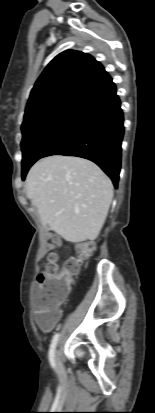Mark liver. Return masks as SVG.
Segmentation results:
<instances>
[{
  "label": "liver",
  "instance_id": "6515ba94",
  "mask_svg": "<svg viewBox=\"0 0 155 413\" xmlns=\"http://www.w3.org/2000/svg\"><path fill=\"white\" fill-rule=\"evenodd\" d=\"M27 198L41 222L65 240H95L113 199L109 177L93 162L54 155L37 161L26 178Z\"/></svg>",
  "mask_w": 155,
  "mask_h": 413
}]
</instances>
